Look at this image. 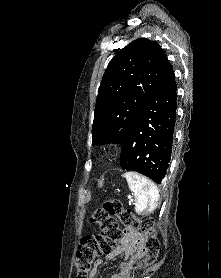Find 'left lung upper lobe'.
Instances as JSON below:
<instances>
[{
    "label": "left lung upper lobe",
    "mask_w": 221,
    "mask_h": 278,
    "mask_svg": "<svg viewBox=\"0 0 221 278\" xmlns=\"http://www.w3.org/2000/svg\"><path fill=\"white\" fill-rule=\"evenodd\" d=\"M115 51L98 89L92 145L124 142L169 63L158 43L143 38Z\"/></svg>",
    "instance_id": "obj_1"
}]
</instances>
